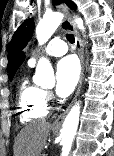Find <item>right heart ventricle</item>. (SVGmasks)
Returning <instances> with one entry per match:
<instances>
[{"instance_id": "e07e8e85", "label": "right heart ventricle", "mask_w": 114, "mask_h": 156, "mask_svg": "<svg viewBox=\"0 0 114 156\" xmlns=\"http://www.w3.org/2000/svg\"><path fill=\"white\" fill-rule=\"evenodd\" d=\"M45 91L29 76H22L18 86V111L24 124L46 117L48 113Z\"/></svg>"}]
</instances>
